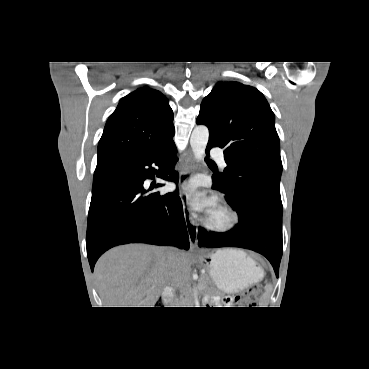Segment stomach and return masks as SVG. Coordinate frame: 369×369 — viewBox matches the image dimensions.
<instances>
[{
    "label": "stomach",
    "instance_id": "stomach-1",
    "mask_svg": "<svg viewBox=\"0 0 369 369\" xmlns=\"http://www.w3.org/2000/svg\"><path fill=\"white\" fill-rule=\"evenodd\" d=\"M208 259L206 263L214 283L226 293H237L263 277L262 269L238 250H219Z\"/></svg>",
    "mask_w": 369,
    "mask_h": 369
}]
</instances>
